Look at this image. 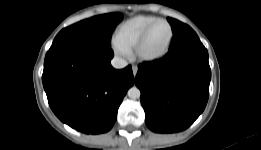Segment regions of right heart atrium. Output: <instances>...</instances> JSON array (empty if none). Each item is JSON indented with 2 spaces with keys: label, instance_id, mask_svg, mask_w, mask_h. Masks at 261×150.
I'll list each match as a JSON object with an SVG mask.
<instances>
[{
  "label": "right heart atrium",
  "instance_id": "obj_1",
  "mask_svg": "<svg viewBox=\"0 0 261 150\" xmlns=\"http://www.w3.org/2000/svg\"><path fill=\"white\" fill-rule=\"evenodd\" d=\"M114 50L119 55H127L128 54V51L125 48H123L122 46H120L119 44H117L116 42H114Z\"/></svg>",
  "mask_w": 261,
  "mask_h": 150
}]
</instances>
